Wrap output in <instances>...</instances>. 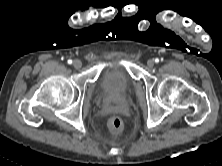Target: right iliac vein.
Listing matches in <instances>:
<instances>
[{"instance_id": "right-iliac-vein-1", "label": "right iliac vein", "mask_w": 222, "mask_h": 166, "mask_svg": "<svg viewBox=\"0 0 222 166\" xmlns=\"http://www.w3.org/2000/svg\"><path fill=\"white\" fill-rule=\"evenodd\" d=\"M73 66H74V68L79 69V68H81L82 63L80 60H74Z\"/></svg>"}]
</instances>
